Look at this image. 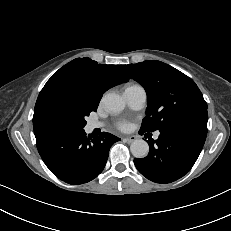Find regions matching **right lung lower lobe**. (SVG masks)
Segmentation results:
<instances>
[{
	"label": "right lung lower lobe",
	"instance_id": "1",
	"mask_svg": "<svg viewBox=\"0 0 231 231\" xmlns=\"http://www.w3.org/2000/svg\"><path fill=\"white\" fill-rule=\"evenodd\" d=\"M36 137L39 154L49 170L69 184H83L96 178L104 169L110 147L120 139L103 132L93 139L85 131Z\"/></svg>",
	"mask_w": 231,
	"mask_h": 231
}]
</instances>
